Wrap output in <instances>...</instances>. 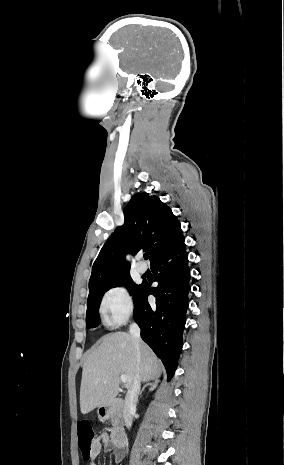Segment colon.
Returning <instances> with one entry per match:
<instances>
[{
  "instance_id": "obj_1",
  "label": "colon",
  "mask_w": 284,
  "mask_h": 465,
  "mask_svg": "<svg viewBox=\"0 0 284 465\" xmlns=\"http://www.w3.org/2000/svg\"><path fill=\"white\" fill-rule=\"evenodd\" d=\"M80 446V456L88 461L91 458L92 446L95 442V433L92 424L88 421L79 422L77 426Z\"/></svg>"
}]
</instances>
